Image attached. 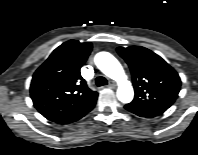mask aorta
Wrapping results in <instances>:
<instances>
[{
  "label": "aorta",
  "instance_id": "obj_1",
  "mask_svg": "<svg viewBox=\"0 0 198 155\" xmlns=\"http://www.w3.org/2000/svg\"><path fill=\"white\" fill-rule=\"evenodd\" d=\"M98 69L118 84L117 98L122 103H129L134 97V90L128 81L122 65L109 52H99L94 57Z\"/></svg>",
  "mask_w": 198,
  "mask_h": 155
}]
</instances>
